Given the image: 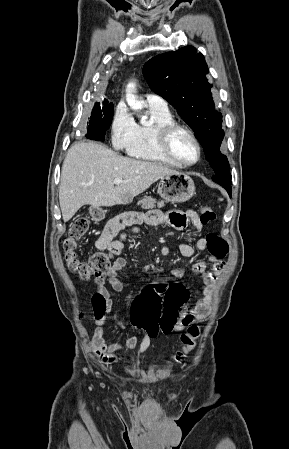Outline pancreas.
<instances>
[{"mask_svg":"<svg viewBox=\"0 0 289 449\" xmlns=\"http://www.w3.org/2000/svg\"><path fill=\"white\" fill-rule=\"evenodd\" d=\"M138 205L141 206L142 209H153L155 207L162 208L165 205L164 201H156L152 197L145 196L141 200L138 201Z\"/></svg>","mask_w":289,"mask_h":449,"instance_id":"pancreas-1","label":"pancreas"}]
</instances>
